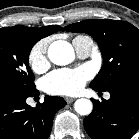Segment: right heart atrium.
Returning a JSON list of instances; mask_svg holds the SVG:
<instances>
[{"label":"right heart atrium","mask_w":139,"mask_h":139,"mask_svg":"<svg viewBox=\"0 0 139 139\" xmlns=\"http://www.w3.org/2000/svg\"><path fill=\"white\" fill-rule=\"evenodd\" d=\"M28 61L35 72H41L47 67V43L45 40H40L33 45L28 55Z\"/></svg>","instance_id":"right-heart-atrium-1"}]
</instances>
